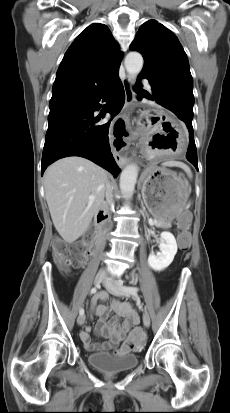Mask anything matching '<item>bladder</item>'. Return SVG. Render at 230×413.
I'll list each match as a JSON object with an SVG mask.
<instances>
[{"mask_svg":"<svg viewBox=\"0 0 230 413\" xmlns=\"http://www.w3.org/2000/svg\"><path fill=\"white\" fill-rule=\"evenodd\" d=\"M88 362L100 371L108 374L131 370L138 365L135 354H112L109 352H93L87 356Z\"/></svg>","mask_w":230,"mask_h":413,"instance_id":"bladder-1","label":"bladder"}]
</instances>
